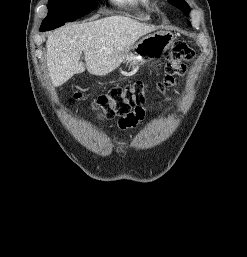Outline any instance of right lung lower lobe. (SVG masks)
Masks as SVG:
<instances>
[{
    "label": "right lung lower lobe",
    "mask_w": 247,
    "mask_h": 257,
    "mask_svg": "<svg viewBox=\"0 0 247 257\" xmlns=\"http://www.w3.org/2000/svg\"><path fill=\"white\" fill-rule=\"evenodd\" d=\"M53 28L52 27H49V26H41L40 27V31L43 32V31H49V30H52Z\"/></svg>",
    "instance_id": "1"
}]
</instances>
